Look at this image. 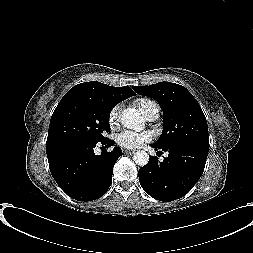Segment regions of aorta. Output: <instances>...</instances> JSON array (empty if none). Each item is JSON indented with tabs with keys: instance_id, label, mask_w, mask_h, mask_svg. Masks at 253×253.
I'll list each match as a JSON object with an SVG mask.
<instances>
[{
	"instance_id": "aorta-1",
	"label": "aorta",
	"mask_w": 253,
	"mask_h": 253,
	"mask_svg": "<svg viewBox=\"0 0 253 253\" xmlns=\"http://www.w3.org/2000/svg\"><path fill=\"white\" fill-rule=\"evenodd\" d=\"M121 124L127 129L140 131L144 128L145 122L143 117L136 109H124L120 115ZM133 161L138 166H145L149 162V155L147 152L141 150L137 151L133 156Z\"/></svg>"
}]
</instances>
